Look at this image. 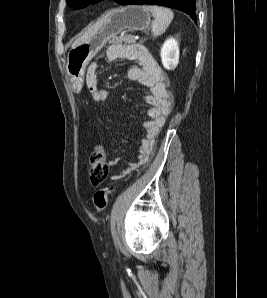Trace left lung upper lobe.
Segmentation results:
<instances>
[{
    "label": "left lung upper lobe",
    "mask_w": 267,
    "mask_h": 298,
    "mask_svg": "<svg viewBox=\"0 0 267 298\" xmlns=\"http://www.w3.org/2000/svg\"><path fill=\"white\" fill-rule=\"evenodd\" d=\"M101 0H67V3L70 7H73L75 9H80L83 7H86L87 5L91 3H96ZM119 4H123L126 0H115Z\"/></svg>",
    "instance_id": "5c2ea615"
}]
</instances>
